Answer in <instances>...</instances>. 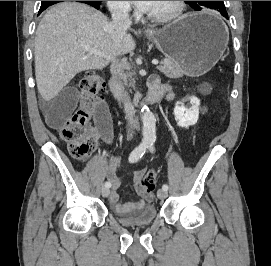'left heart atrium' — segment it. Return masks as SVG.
Wrapping results in <instances>:
<instances>
[{"mask_svg":"<svg viewBox=\"0 0 271 266\" xmlns=\"http://www.w3.org/2000/svg\"><path fill=\"white\" fill-rule=\"evenodd\" d=\"M154 2L155 1H133V3L143 11H149L153 7Z\"/></svg>","mask_w":271,"mask_h":266,"instance_id":"obj_1","label":"left heart atrium"}]
</instances>
